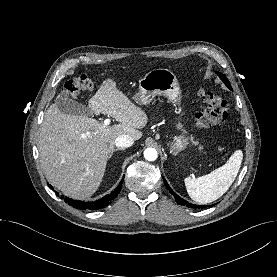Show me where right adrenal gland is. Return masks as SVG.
I'll return each mask as SVG.
<instances>
[{"mask_svg":"<svg viewBox=\"0 0 277 277\" xmlns=\"http://www.w3.org/2000/svg\"><path fill=\"white\" fill-rule=\"evenodd\" d=\"M118 150H123V148L114 149V150L110 153L109 158L113 155V153H114L115 151H118Z\"/></svg>","mask_w":277,"mask_h":277,"instance_id":"right-adrenal-gland-1","label":"right adrenal gland"}]
</instances>
